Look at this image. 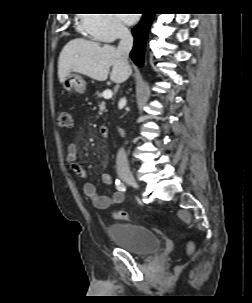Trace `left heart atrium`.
<instances>
[{
  "label": "left heart atrium",
  "mask_w": 252,
  "mask_h": 303,
  "mask_svg": "<svg viewBox=\"0 0 252 303\" xmlns=\"http://www.w3.org/2000/svg\"><path fill=\"white\" fill-rule=\"evenodd\" d=\"M121 17L127 24H133L138 19L137 14H121Z\"/></svg>",
  "instance_id": "left-heart-atrium-1"
}]
</instances>
